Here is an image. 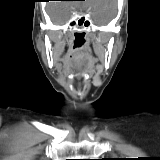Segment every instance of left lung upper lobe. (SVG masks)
<instances>
[{"label": "left lung upper lobe", "instance_id": "5c2ea615", "mask_svg": "<svg viewBox=\"0 0 160 160\" xmlns=\"http://www.w3.org/2000/svg\"><path fill=\"white\" fill-rule=\"evenodd\" d=\"M107 160H114V159L111 158V159H107Z\"/></svg>", "mask_w": 160, "mask_h": 160}]
</instances>
